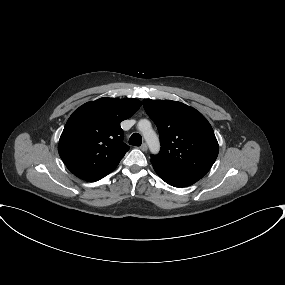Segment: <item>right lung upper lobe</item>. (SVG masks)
I'll use <instances>...</instances> for the list:
<instances>
[{
  "instance_id": "right-lung-upper-lobe-1",
  "label": "right lung upper lobe",
  "mask_w": 285,
  "mask_h": 285,
  "mask_svg": "<svg viewBox=\"0 0 285 285\" xmlns=\"http://www.w3.org/2000/svg\"><path fill=\"white\" fill-rule=\"evenodd\" d=\"M141 105L134 98H100L75 110L58 144L59 155L70 172L88 182L112 172L129 150L122 142L120 122L131 117Z\"/></svg>"
}]
</instances>
